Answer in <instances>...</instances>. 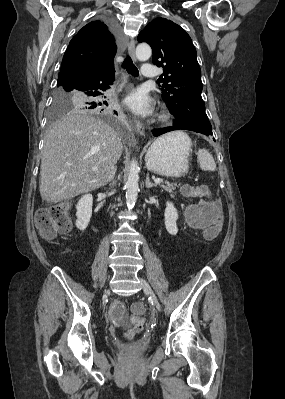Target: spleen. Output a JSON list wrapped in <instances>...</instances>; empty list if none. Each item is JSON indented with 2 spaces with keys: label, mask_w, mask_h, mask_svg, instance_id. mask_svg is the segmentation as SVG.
Here are the masks:
<instances>
[{
  "label": "spleen",
  "mask_w": 285,
  "mask_h": 399,
  "mask_svg": "<svg viewBox=\"0 0 285 399\" xmlns=\"http://www.w3.org/2000/svg\"><path fill=\"white\" fill-rule=\"evenodd\" d=\"M197 159L201 169L205 171H214L216 169L213 156L206 149H199Z\"/></svg>",
  "instance_id": "3e777b00"
}]
</instances>
